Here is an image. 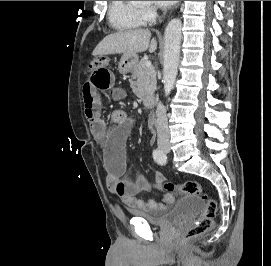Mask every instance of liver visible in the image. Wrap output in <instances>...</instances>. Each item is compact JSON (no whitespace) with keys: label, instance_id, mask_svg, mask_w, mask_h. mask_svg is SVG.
<instances>
[{"label":"liver","instance_id":"6515ba94","mask_svg":"<svg viewBox=\"0 0 271 266\" xmlns=\"http://www.w3.org/2000/svg\"><path fill=\"white\" fill-rule=\"evenodd\" d=\"M151 32L147 29L121 31L106 36L94 49L92 55L136 54L149 50L153 53L157 49V41H150Z\"/></svg>","mask_w":271,"mask_h":266}]
</instances>
